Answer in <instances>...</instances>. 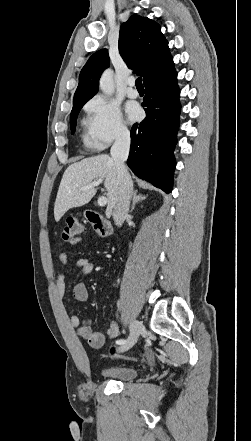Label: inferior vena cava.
I'll use <instances>...</instances> for the list:
<instances>
[{"mask_svg":"<svg viewBox=\"0 0 251 441\" xmlns=\"http://www.w3.org/2000/svg\"><path fill=\"white\" fill-rule=\"evenodd\" d=\"M130 133L128 130H120L115 142L111 147L110 154L113 159L119 181V191L116 204L113 209V219L117 226H121L128 216L131 196L133 194V183L125 166L130 150Z\"/></svg>","mask_w":251,"mask_h":441,"instance_id":"inferior-vena-cava-1","label":"inferior vena cava"}]
</instances>
